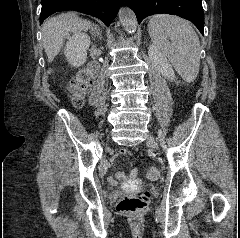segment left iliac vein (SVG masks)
<instances>
[{
    "label": "left iliac vein",
    "mask_w": 240,
    "mask_h": 238,
    "mask_svg": "<svg viewBox=\"0 0 240 238\" xmlns=\"http://www.w3.org/2000/svg\"><path fill=\"white\" fill-rule=\"evenodd\" d=\"M146 142L150 147L158 148V142L155 140V138L151 134L148 135ZM161 146L164 147V144L163 145L161 144Z\"/></svg>",
    "instance_id": "1"
}]
</instances>
